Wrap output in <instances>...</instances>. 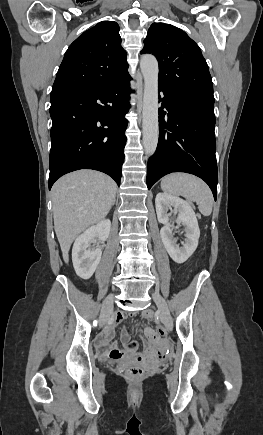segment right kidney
<instances>
[{
    "label": "right kidney",
    "mask_w": 263,
    "mask_h": 435,
    "mask_svg": "<svg viewBox=\"0 0 263 435\" xmlns=\"http://www.w3.org/2000/svg\"><path fill=\"white\" fill-rule=\"evenodd\" d=\"M111 222L104 219L91 226L77 237L72 249V261L77 275L82 279H89L95 272L102 255L100 246L90 249L91 243L97 238L104 242L110 233Z\"/></svg>",
    "instance_id": "ca27d5eb"
}]
</instances>
